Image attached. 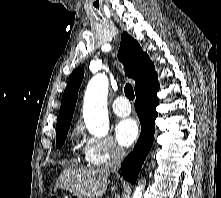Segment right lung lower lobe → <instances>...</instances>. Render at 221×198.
Returning a JSON list of instances; mask_svg holds the SVG:
<instances>
[{"label":"right lung lower lobe","mask_w":221,"mask_h":198,"mask_svg":"<svg viewBox=\"0 0 221 198\" xmlns=\"http://www.w3.org/2000/svg\"><path fill=\"white\" fill-rule=\"evenodd\" d=\"M158 91L159 82L156 75L136 92L135 108L141 124V134L133 151L121 164L123 177L132 184L136 183L141 166L152 146L155 119L158 116L156 111V106L159 104Z\"/></svg>","instance_id":"obj_1"}]
</instances>
